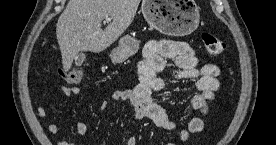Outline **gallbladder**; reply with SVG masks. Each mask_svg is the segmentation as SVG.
I'll return each mask as SVG.
<instances>
[{"instance_id":"gallbladder-1","label":"gallbladder","mask_w":276,"mask_h":145,"mask_svg":"<svg viewBox=\"0 0 276 145\" xmlns=\"http://www.w3.org/2000/svg\"><path fill=\"white\" fill-rule=\"evenodd\" d=\"M85 58H86V56L84 53L77 54V56L75 57V64L78 66L82 65Z\"/></svg>"}]
</instances>
